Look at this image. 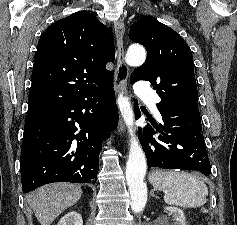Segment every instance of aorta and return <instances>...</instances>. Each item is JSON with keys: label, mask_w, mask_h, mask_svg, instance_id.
Segmentation results:
<instances>
[{"label": "aorta", "mask_w": 237, "mask_h": 225, "mask_svg": "<svg viewBox=\"0 0 237 225\" xmlns=\"http://www.w3.org/2000/svg\"><path fill=\"white\" fill-rule=\"evenodd\" d=\"M145 59L146 51L142 46L134 44L128 48L125 57L127 64L139 66L144 63ZM117 105L130 134V149L126 164V181L132 200V209L137 212L144 207L147 199V186L144 183L147 162L139 141L132 130L134 113L131 104L123 93L119 94Z\"/></svg>", "instance_id": "obj_1"}]
</instances>
